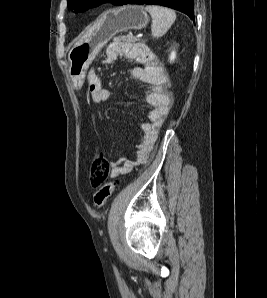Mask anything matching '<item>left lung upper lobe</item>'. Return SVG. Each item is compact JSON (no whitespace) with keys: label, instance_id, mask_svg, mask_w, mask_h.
Returning <instances> with one entry per match:
<instances>
[{"label":"left lung upper lobe","instance_id":"1","mask_svg":"<svg viewBox=\"0 0 267 298\" xmlns=\"http://www.w3.org/2000/svg\"><path fill=\"white\" fill-rule=\"evenodd\" d=\"M122 1L123 0H68L67 5L75 12H82L102 3L111 2L114 5H120Z\"/></svg>","mask_w":267,"mask_h":298}]
</instances>
